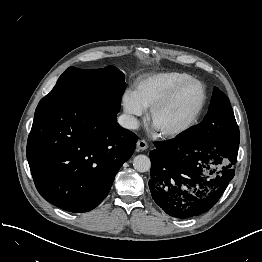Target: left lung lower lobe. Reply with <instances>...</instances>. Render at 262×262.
I'll return each mask as SVG.
<instances>
[{
  "label": "left lung lower lobe",
  "mask_w": 262,
  "mask_h": 262,
  "mask_svg": "<svg viewBox=\"0 0 262 262\" xmlns=\"http://www.w3.org/2000/svg\"><path fill=\"white\" fill-rule=\"evenodd\" d=\"M239 137L222 133L207 140L178 136L155 142L149 188L156 204L176 218L211 209L234 177Z\"/></svg>",
  "instance_id": "left-lung-lower-lobe-1"
}]
</instances>
